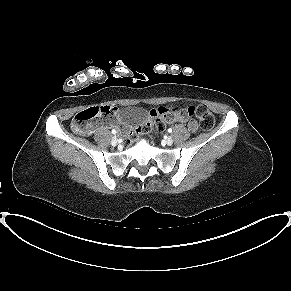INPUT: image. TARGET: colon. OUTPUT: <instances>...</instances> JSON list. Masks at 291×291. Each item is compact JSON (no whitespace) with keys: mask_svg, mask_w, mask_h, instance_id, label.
Returning a JSON list of instances; mask_svg holds the SVG:
<instances>
[{"mask_svg":"<svg viewBox=\"0 0 291 291\" xmlns=\"http://www.w3.org/2000/svg\"><path fill=\"white\" fill-rule=\"evenodd\" d=\"M180 109L173 106H164L158 109V112L150 117L152 121H145L140 124L135 132L130 133V138L135 139L138 133L147 134L152 129L163 131L166 124L171 122ZM188 115H195L200 126L204 130H210L215 124L213 114L208 107L203 104L191 105L187 108ZM119 115L117 109L113 106H92L78 112L72 121V128L75 132L87 135L93 128L104 125Z\"/></svg>","mask_w":291,"mask_h":291,"instance_id":"colon-1","label":"colon"}]
</instances>
